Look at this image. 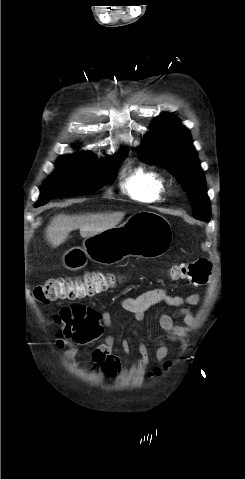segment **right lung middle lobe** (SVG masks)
I'll use <instances>...</instances> for the list:
<instances>
[{"label":"right lung middle lobe","mask_w":245,"mask_h":479,"mask_svg":"<svg viewBox=\"0 0 245 479\" xmlns=\"http://www.w3.org/2000/svg\"><path fill=\"white\" fill-rule=\"evenodd\" d=\"M126 156L127 152H123L100 162H90L85 153L60 157L56 172L41 187L35 206H42L50 199L84 195L103 187L113 180Z\"/></svg>","instance_id":"right-lung-middle-lobe-1"}]
</instances>
